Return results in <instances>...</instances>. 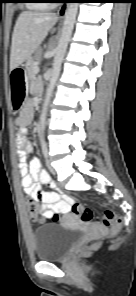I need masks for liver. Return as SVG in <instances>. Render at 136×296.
Instances as JSON below:
<instances>
[{
  "label": "liver",
  "mask_w": 136,
  "mask_h": 296,
  "mask_svg": "<svg viewBox=\"0 0 136 296\" xmlns=\"http://www.w3.org/2000/svg\"><path fill=\"white\" fill-rule=\"evenodd\" d=\"M57 20L54 13L24 11L19 15L12 35L10 70L31 58Z\"/></svg>",
  "instance_id": "liver-1"
}]
</instances>
